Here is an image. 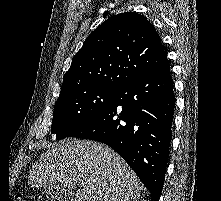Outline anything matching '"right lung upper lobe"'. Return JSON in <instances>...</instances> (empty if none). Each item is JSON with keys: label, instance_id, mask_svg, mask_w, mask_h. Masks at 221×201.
<instances>
[{"label": "right lung upper lobe", "instance_id": "1", "mask_svg": "<svg viewBox=\"0 0 221 201\" xmlns=\"http://www.w3.org/2000/svg\"><path fill=\"white\" fill-rule=\"evenodd\" d=\"M167 60L153 25L135 12L114 15L84 41L63 77L59 97L91 88L116 90Z\"/></svg>", "mask_w": 221, "mask_h": 201}]
</instances>
